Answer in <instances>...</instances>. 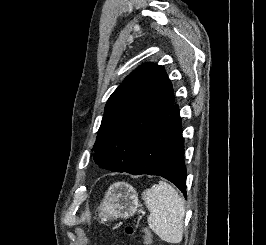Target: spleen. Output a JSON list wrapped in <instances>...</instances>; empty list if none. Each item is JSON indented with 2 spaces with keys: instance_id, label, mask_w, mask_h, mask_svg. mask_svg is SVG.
Instances as JSON below:
<instances>
[{
  "instance_id": "spleen-1",
  "label": "spleen",
  "mask_w": 266,
  "mask_h": 245,
  "mask_svg": "<svg viewBox=\"0 0 266 245\" xmlns=\"http://www.w3.org/2000/svg\"><path fill=\"white\" fill-rule=\"evenodd\" d=\"M142 199L150 211L147 219L149 229L166 243H181L185 209L177 191L168 183L159 181V185H153L142 193Z\"/></svg>"
}]
</instances>
